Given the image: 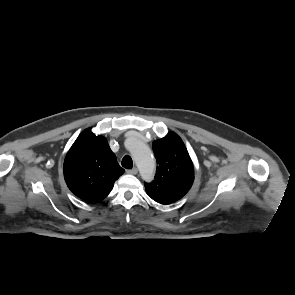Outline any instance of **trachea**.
<instances>
[{
  "instance_id": "1",
  "label": "trachea",
  "mask_w": 295,
  "mask_h": 295,
  "mask_svg": "<svg viewBox=\"0 0 295 295\" xmlns=\"http://www.w3.org/2000/svg\"><path fill=\"white\" fill-rule=\"evenodd\" d=\"M122 166L126 169H132L133 161L129 155H125L122 159Z\"/></svg>"
}]
</instances>
